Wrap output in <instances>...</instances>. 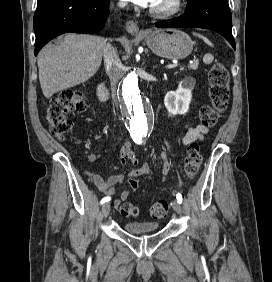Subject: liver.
<instances>
[{
  "label": "liver",
  "instance_id": "obj_1",
  "mask_svg": "<svg viewBox=\"0 0 272 282\" xmlns=\"http://www.w3.org/2000/svg\"><path fill=\"white\" fill-rule=\"evenodd\" d=\"M106 40L93 35L67 34L38 54L39 81L46 98L84 83L99 69Z\"/></svg>",
  "mask_w": 272,
  "mask_h": 282
}]
</instances>
